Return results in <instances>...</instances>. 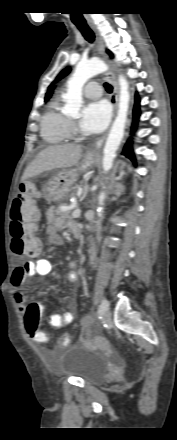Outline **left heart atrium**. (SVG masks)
Returning a JSON list of instances; mask_svg holds the SVG:
<instances>
[{
    "label": "left heart atrium",
    "mask_w": 177,
    "mask_h": 440,
    "mask_svg": "<svg viewBox=\"0 0 177 440\" xmlns=\"http://www.w3.org/2000/svg\"><path fill=\"white\" fill-rule=\"evenodd\" d=\"M110 119V109L104 101H94L87 104L81 113L80 128L88 133H100Z\"/></svg>",
    "instance_id": "left-heart-atrium-1"
}]
</instances>
